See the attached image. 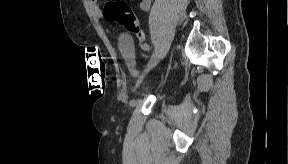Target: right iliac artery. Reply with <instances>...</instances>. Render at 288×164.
<instances>
[{
	"instance_id": "right-iliac-artery-1",
	"label": "right iliac artery",
	"mask_w": 288,
	"mask_h": 164,
	"mask_svg": "<svg viewBox=\"0 0 288 164\" xmlns=\"http://www.w3.org/2000/svg\"><path fill=\"white\" fill-rule=\"evenodd\" d=\"M141 48H142L143 50H145V51H149V50H150V47H149V45H148L147 43H143V44L141 45Z\"/></svg>"
}]
</instances>
